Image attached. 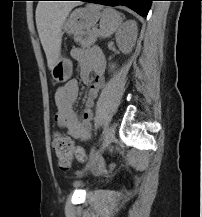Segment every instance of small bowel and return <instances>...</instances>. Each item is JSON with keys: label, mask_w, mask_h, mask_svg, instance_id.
<instances>
[{"label": "small bowel", "mask_w": 202, "mask_h": 217, "mask_svg": "<svg viewBox=\"0 0 202 217\" xmlns=\"http://www.w3.org/2000/svg\"><path fill=\"white\" fill-rule=\"evenodd\" d=\"M71 54L78 63L82 81L88 86L84 109L81 114H78L74 108L79 95V87L77 80L71 79L55 91L54 100L57 106L55 121L73 139L86 140L89 138L92 126V108L104 86L105 60L97 49L86 51L73 49ZM91 71L95 74L93 80L90 79Z\"/></svg>", "instance_id": "c3829d8e"}]
</instances>
